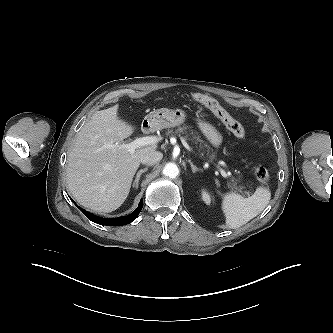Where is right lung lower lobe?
<instances>
[{"label":"right lung lower lobe","instance_id":"right-lung-lower-lobe-1","mask_svg":"<svg viewBox=\"0 0 333 333\" xmlns=\"http://www.w3.org/2000/svg\"><path fill=\"white\" fill-rule=\"evenodd\" d=\"M72 202L75 204V202L73 200H72ZM142 206H143V202L141 199L138 208L135 209L134 212H132L131 214H129L127 216H121V217L112 218V219H106V218H101V217L95 216V215L87 212L86 210H82V208H80L78 206L77 207L80 210H82V212L85 214V216L92 222H95L100 225H106V226H122V225H126V224H129L132 221H134L137 218V216L139 215V213L142 209Z\"/></svg>","mask_w":333,"mask_h":333}]
</instances>
